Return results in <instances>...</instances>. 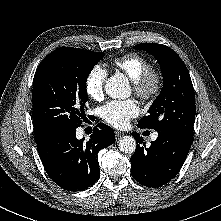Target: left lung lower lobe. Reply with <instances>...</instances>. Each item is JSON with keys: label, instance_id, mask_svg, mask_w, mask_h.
Instances as JSON below:
<instances>
[{"label": "left lung lower lobe", "instance_id": "0a47b994", "mask_svg": "<svg viewBox=\"0 0 221 221\" xmlns=\"http://www.w3.org/2000/svg\"><path fill=\"white\" fill-rule=\"evenodd\" d=\"M138 142L131 157V174L136 181L147 187H159L168 183L180 171L193 136L178 130H160L158 138L147 148L143 138L132 133Z\"/></svg>", "mask_w": 221, "mask_h": 221}]
</instances>
